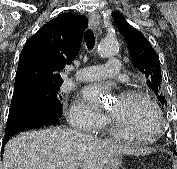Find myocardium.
Here are the masks:
<instances>
[{"mask_svg": "<svg viewBox=\"0 0 177 169\" xmlns=\"http://www.w3.org/2000/svg\"><path fill=\"white\" fill-rule=\"evenodd\" d=\"M120 95L124 96V97H130V98H141V99L145 100L147 103H149L152 106V108L157 112V114L160 118L161 129L155 135H152V136L132 135V134H129L125 130V128L119 122V120L117 118H115L113 115L109 114V120H110L114 130L116 132H118L119 134H121L124 138H127V139H133V140H138V141H148V142H152V141L158 139L165 131L166 121H165L163 111L161 110L160 106L156 103V101L149 94H147L143 90H141L139 88H135V87L124 89Z\"/></svg>", "mask_w": 177, "mask_h": 169, "instance_id": "f54148a6", "label": "myocardium"}]
</instances>
